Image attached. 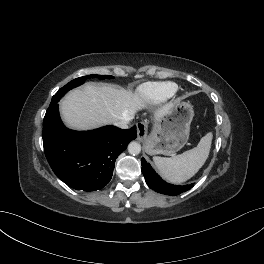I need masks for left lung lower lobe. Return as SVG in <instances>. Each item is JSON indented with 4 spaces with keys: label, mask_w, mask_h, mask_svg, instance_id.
<instances>
[{
    "label": "left lung lower lobe",
    "mask_w": 264,
    "mask_h": 264,
    "mask_svg": "<svg viewBox=\"0 0 264 264\" xmlns=\"http://www.w3.org/2000/svg\"><path fill=\"white\" fill-rule=\"evenodd\" d=\"M142 173L145 177L147 185L156 192L166 195H178L182 192L189 190L193 184L186 186H176L165 182L146 162L144 158L141 159Z\"/></svg>",
    "instance_id": "0a47b994"
}]
</instances>
